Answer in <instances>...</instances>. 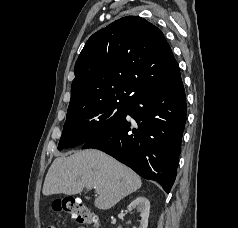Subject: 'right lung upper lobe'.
<instances>
[{
  "instance_id": "obj_1",
  "label": "right lung upper lobe",
  "mask_w": 238,
  "mask_h": 228,
  "mask_svg": "<svg viewBox=\"0 0 238 228\" xmlns=\"http://www.w3.org/2000/svg\"><path fill=\"white\" fill-rule=\"evenodd\" d=\"M74 71L67 114L101 102H128L181 77L161 30L137 16L118 19L93 34Z\"/></svg>"
}]
</instances>
